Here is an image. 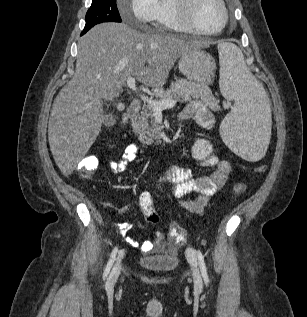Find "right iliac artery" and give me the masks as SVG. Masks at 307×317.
Wrapping results in <instances>:
<instances>
[{"mask_svg": "<svg viewBox=\"0 0 307 317\" xmlns=\"http://www.w3.org/2000/svg\"><path fill=\"white\" fill-rule=\"evenodd\" d=\"M117 252H118V247H115L110 255V258H109V261L106 265V268L104 270V273H103V279H105L107 277V275L109 274L110 272V269L115 261V258H116V255H117Z\"/></svg>", "mask_w": 307, "mask_h": 317, "instance_id": "obj_1", "label": "right iliac artery"}]
</instances>
